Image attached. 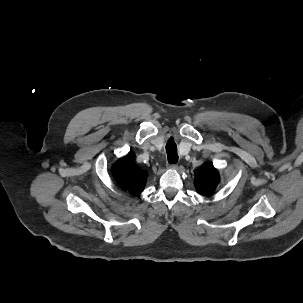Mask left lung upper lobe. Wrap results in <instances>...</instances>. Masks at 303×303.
I'll list each match as a JSON object with an SVG mask.
<instances>
[{"label": "left lung upper lobe", "mask_w": 303, "mask_h": 303, "mask_svg": "<svg viewBox=\"0 0 303 303\" xmlns=\"http://www.w3.org/2000/svg\"><path fill=\"white\" fill-rule=\"evenodd\" d=\"M219 183V173L210 164L205 165L202 171L195 177L194 185L199 194L209 195Z\"/></svg>", "instance_id": "5c2ea615"}]
</instances>
